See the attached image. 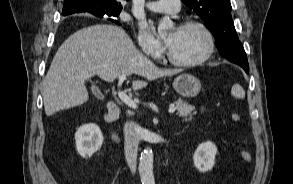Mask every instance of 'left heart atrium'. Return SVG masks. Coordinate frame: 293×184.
Listing matches in <instances>:
<instances>
[{
    "mask_svg": "<svg viewBox=\"0 0 293 184\" xmlns=\"http://www.w3.org/2000/svg\"><path fill=\"white\" fill-rule=\"evenodd\" d=\"M172 42H173V36H169V37L166 39V43H167V45L170 47L171 44H172Z\"/></svg>",
    "mask_w": 293,
    "mask_h": 184,
    "instance_id": "left-heart-atrium-1",
    "label": "left heart atrium"
}]
</instances>
